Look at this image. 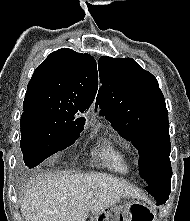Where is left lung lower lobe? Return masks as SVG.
<instances>
[{
	"mask_svg": "<svg viewBox=\"0 0 190 221\" xmlns=\"http://www.w3.org/2000/svg\"><path fill=\"white\" fill-rule=\"evenodd\" d=\"M171 176L172 169L155 184L145 187V189L155 198L157 205L164 204L169 198L171 190Z\"/></svg>",
	"mask_w": 190,
	"mask_h": 221,
	"instance_id": "0a47b994",
	"label": "left lung lower lobe"
}]
</instances>
